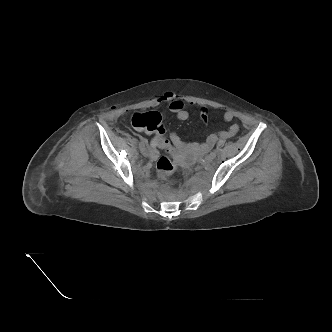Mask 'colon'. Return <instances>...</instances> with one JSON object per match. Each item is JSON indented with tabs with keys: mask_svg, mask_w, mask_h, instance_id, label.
Masks as SVG:
<instances>
[{
	"mask_svg": "<svg viewBox=\"0 0 332 332\" xmlns=\"http://www.w3.org/2000/svg\"><path fill=\"white\" fill-rule=\"evenodd\" d=\"M132 125L139 130L154 134L159 147L168 153L169 156H162L157 160L156 171L161 179H170L176 171V164L172 159L173 149L171 143L164 137L165 128L162 124L161 115L156 111L136 113L132 117Z\"/></svg>",
	"mask_w": 332,
	"mask_h": 332,
	"instance_id": "1",
	"label": "colon"
}]
</instances>
